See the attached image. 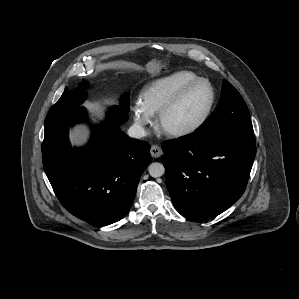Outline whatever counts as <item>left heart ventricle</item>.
Segmentation results:
<instances>
[{"mask_svg":"<svg viewBox=\"0 0 299 299\" xmlns=\"http://www.w3.org/2000/svg\"><path fill=\"white\" fill-rule=\"evenodd\" d=\"M209 101L210 90L207 85L200 84L193 87L167 114L164 126L170 130L191 126L201 118Z\"/></svg>","mask_w":299,"mask_h":299,"instance_id":"1","label":"left heart ventricle"}]
</instances>
